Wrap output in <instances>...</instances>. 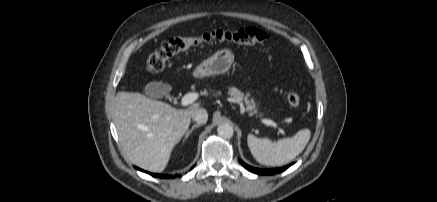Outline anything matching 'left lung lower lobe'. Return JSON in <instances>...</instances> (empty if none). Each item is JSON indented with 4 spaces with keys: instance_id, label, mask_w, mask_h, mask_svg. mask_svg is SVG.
<instances>
[{
    "instance_id": "obj_1",
    "label": "left lung lower lobe",
    "mask_w": 437,
    "mask_h": 202,
    "mask_svg": "<svg viewBox=\"0 0 437 202\" xmlns=\"http://www.w3.org/2000/svg\"><path fill=\"white\" fill-rule=\"evenodd\" d=\"M239 162L241 163V165L244 168H246L250 172H253V173H256V174H260V175H273V174H277V173L283 172L284 170H286L288 167H290L292 165V164H289V165L284 166L282 168H274V169H259V168H254V167H252L250 165L245 164L240 159H239Z\"/></svg>"
}]
</instances>
